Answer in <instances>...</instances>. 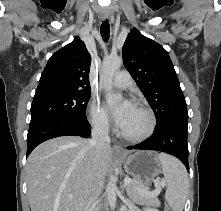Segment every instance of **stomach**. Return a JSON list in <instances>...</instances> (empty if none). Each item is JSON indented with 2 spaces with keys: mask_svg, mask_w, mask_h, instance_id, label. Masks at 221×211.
I'll return each instance as SVG.
<instances>
[{
  "mask_svg": "<svg viewBox=\"0 0 221 211\" xmlns=\"http://www.w3.org/2000/svg\"><path fill=\"white\" fill-rule=\"evenodd\" d=\"M126 173L147 186L161 172L158 155L153 151H137L132 155L119 157Z\"/></svg>",
  "mask_w": 221,
  "mask_h": 211,
  "instance_id": "stomach-1",
  "label": "stomach"
}]
</instances>
